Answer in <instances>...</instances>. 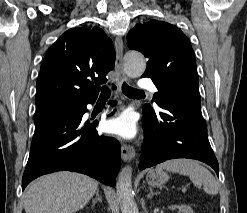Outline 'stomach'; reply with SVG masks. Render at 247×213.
Here are the masks:
<instances>
[{
	"label": "stomach",
	"instance_id": "0dacf381",
	"mask_svg": "<svg viewBox=\"0 0 247 213\" xmlns=\"http://www.w3.org/2000/svg\"><path fill=\"white\" fill-rule=\"evenodd\" d=\"M168 178V174L164 171L152 169L147 173L146 181L150 186H161L168 180Z\"/></svg>",
	"mask_w": 247,
	"mask_h": 213
}]
</instances>
